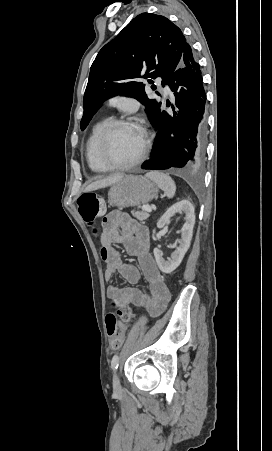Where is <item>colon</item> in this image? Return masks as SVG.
I'll return each instance as SVG.
<instances>
[{
	"label": "colon",
	"instance_id": "1",
	"mask_svg": "<svg viewBox=\"0 0 272 451\" xmlns=\"http://www.w3.org/2000/svg\"><path fill=\"white\" fill-rule=\"evenodd\" d=\"M80 216L88 225H93L104 212V199L101 195L90 192L80 196L77 200ZM111 303V302H110ZM116 309V308H115ZM117 316L124 322L132 318V312L129 308H118ZM106 332L113 335L117 331V317L113 314H107L105 317ZM111 347H121V338H111Z\"/></svg>",
	"mask_w": 272,
	"mask_h": 451
}]
</instances>
